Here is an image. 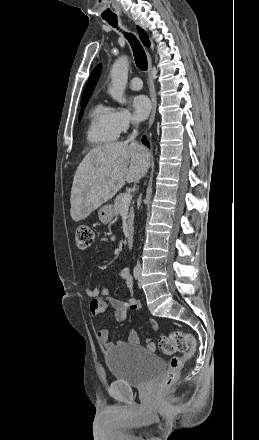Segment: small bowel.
I'll use <instances>...</instances> for the list:
<instances>
[{
	"instance_id": "obj_1",
	"label": "small bowel",
	"mask_w": 259,
	"mask_h": 440,
	"mask_svg": "<svg viewBox=\"0 0 259 440\" xmlns=\"http://www.w3.org/2000/svg\"><path fill=\"white\" fill-rule=\"evenodd\" d=\"M115 239L116 237L111 235L109 237L102 238V241L113 242ZM120 277L124 281L127 288L129 297L127 301L112 298L110 296V290L107 288L96 287L85 289L86 295L92 299L89 305V312L91 316H99L110 308L114 312L115 321L121 322L127 318L129 312L140 311L142 309L141 302L135 296L133 279L129 269L123 268L120 272ZM99 297H101L100 300L98 299ZM148 324L155 330L159 327L158 323L154 319H148ZM97 336L101 344L106 348H111L114 346V343L111 341L110 331L108 329L99 330ZM139 342L140 339L138 333L135 330H130L126 339L119 341L118 344L137 345ZM146 343L149 350L155 349L154 343L149 339H147Z\"/></svg>"
}]
</instances>
